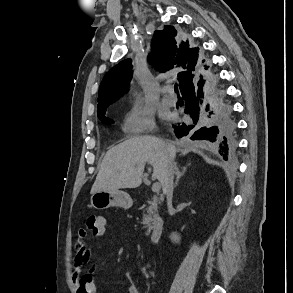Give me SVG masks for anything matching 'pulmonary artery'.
Here are the masks:
<instances>
[{
  "label": "pulmonary artery",
  "mask_w": 293,
  "mask_h": 293,
  "mask_svg": "<svg viewBox=\"0 0 293 293\" xmlns=\"http://www.w3.org/2000/svg\"><path fill=\"white\" fill-rule=\"evenodd\" d=\"M162 101L166 104L172 105L176 103V97L173 93V90L170 86H166L163 89V98Z\"/></svg>",
  "instance_id": "1"
}]
</instances>
